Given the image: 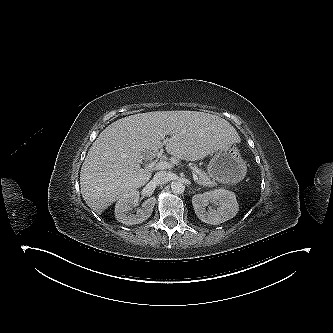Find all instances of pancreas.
<instances>
[{"label":"pancreas","instance_id":"pancreas-1","mask_svg":"<svg viewBox=\"0 0 333 333\" xmlns=\"http://www.w3.org/2000/svg\"><path fill=\"white\" fill-rule=\"evenodd\" d=\"M198 175H199V184L205 187H213L216 186L217 183L215 182V180H212L209 175L201 170V169H196Z\"/></svg>","mask_w":333,"mask_h":333}]
</instances>
